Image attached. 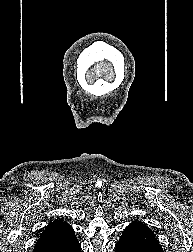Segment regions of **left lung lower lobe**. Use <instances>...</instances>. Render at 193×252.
Here are the masks:
<instances>
[{
    "label": "left lung lower lobe",
    "instance_id": "1",
    "mask_svg": "<svg viewBox=\"0 0 193 252\" xmlns=\"http://www.w3.org/2000/svg\"><path fill=\"white\" fill-rule=\"evenodd\" d=\"M116 252H163V249L148 226L133 222L117 242Z\"/></svg>",
    "mask_w": 193,
    "mask_h": 252
}]
</instances>
